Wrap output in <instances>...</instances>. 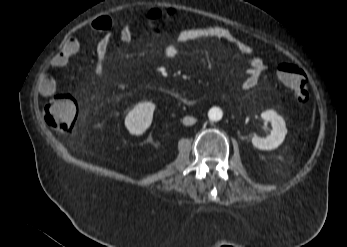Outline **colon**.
Listing matches in <instances>:
<instances>
[{
	"label": "colon",
	"mask_w": 347,
	"mask_h": 247,
	"mask_svg": "<svg viewBox=\"0 0 347 247\" xmlns=\"http://www.w3.org/2000/svg\"><path fill=\"white\" fill-rule=\"evenodd\" d=\"M172 10L162 12L151 9L144 17L152 33H161L164 18L171 17ZM280 82L290 90L294 98L304 103L309 98V82L306 73L296 64L281 63L277 68ZM78 105L76 100L68 94H53L49 96L44 105L45 122L60 133L71 132L76 124Z\"/></svg>",
	"instance_id": "obj_1"
}]
</instances>
